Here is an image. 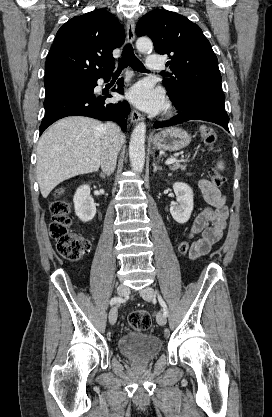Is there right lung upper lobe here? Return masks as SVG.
I'll use <instances>...</instances> for the list:
<instances>
[{"label": "right lung upper lobe", "mask_w": 272, "mask_h": 417, "mask_svg": "<svg viewBox=\"0 0 272 417\" xmlns=\"http://www.w3.org/2000/svg\"><path fill=\"white\" fill-rule=\"evenodd\" d=\"M124 38L123 26L106 10L70 19L58 30L47 55L45 89L82 84L112 71V51Z\"/></svg>", "instance_id": "1"}]
</instances>
